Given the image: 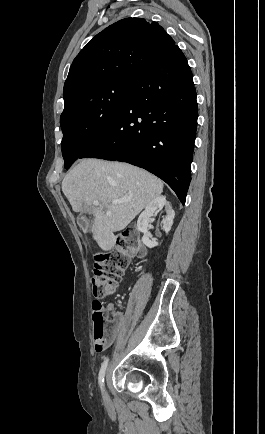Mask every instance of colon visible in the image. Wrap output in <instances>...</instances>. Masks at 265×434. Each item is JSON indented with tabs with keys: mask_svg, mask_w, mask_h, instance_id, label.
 Wrapping results in <instances>:
<instances>
[{
	"mask_svg": "<svg viewBox=\"0 0 265 434\" xmlns=\"http://www.w3.org/2000/svg\"><path fill=\"white\" fill-rule=\"evenodd\" d=\"M122 249L125 246H120ZM128 256L122 251L102 253L94 260V275L91 280L94 297L93 304V329L94 331H105L108 324L106 314H102L101 300L113 294L122 279L128 265ZM94 347H107L106 332H93Z\"/></svg>",
	"mask_w": 265,
	"mask_h": 434,
	"instance_id": "obj_1",
	"label": "colon"
}]
</instances>
